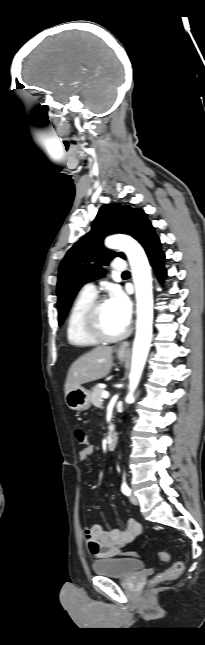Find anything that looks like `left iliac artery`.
Masks as SVG:
<instances>
[{
  "label": "left iliac artery",
  "instance_id": "1",
  "mask_svg": "<svg viewBox=\"0 0 205 645\" xmlns=\"http://www.w3.org/2000/svg\"><path fill=\"white\" fill-rule=\"evenodd\" d=\"M121 490L127 496L130 495V493H131L130 488L128 487V485L125 482V477H123V483H122Z\"/></svg>",
  "mask_w": 205,
  "mask_h": 645
}]
</instances>
